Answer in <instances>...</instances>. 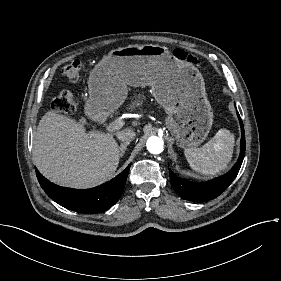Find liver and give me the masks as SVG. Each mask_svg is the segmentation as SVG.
<instances>
[{
  "mask_svg": "<svg viewBox=\"0 0 281 281\" xmlns=\"http://www.w3.org/2000/svg\"><path fill=\"white\" fill-rule=\"evenodd\" d=\"M35 165L52 183L88 189L108 181L119 162L118 145L111 133L85 131L76 120L47 112L33 144Z\"/></svg>",
  "mask_w": 281,
  "mask_h": 281,
  "instance_id": "1",
  "label": "liver"
}]
</instances>
